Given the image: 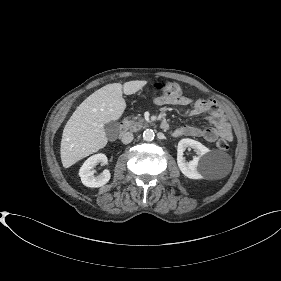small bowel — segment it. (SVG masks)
Instances as JSON below:
<instances>
[{
  "instance_id": "obj_1",
  "label": "small bowel",
  "mask_w": 281,
  "mask_h": 281,
  "mask_svg": "<svg viewBox=\"0 0 281 281\" xmlns=\"http://www.w3.org/2000/svg\"><path fill=\"white\" fill-rule=\"evenodd\" d=\"M159 106H191V115H206V120L212 124V127H198L194 125H183L172 131V136L198 137L208 142H214L219 137L227 140L232 139L231 129L220 110L216 101L210 98L197 99L183 95L165 96L156 100Z\"/></svg>"
}]
</instances>
